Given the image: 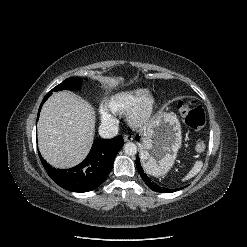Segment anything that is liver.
<instances>
[{
  "label": "liver",
  "mask_w": 247,
  "mask_h": 247,
  "mask_svg": "<svg viewBox=\"0 0 247 247\" xmlns=\"http://www.w3.org/2000/svg\"><path fill=\"white\" fill-rule=\"evenodd\" d=\"M92 107L73 93H54L43 105L38 143L43 158L56 168H71L88 154L94 139Z\"/></svg>",
  "instance_id": "6515ba94"
}]
</instances>
